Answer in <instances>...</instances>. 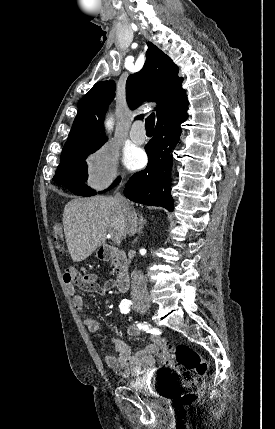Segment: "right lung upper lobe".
Returning a JSON list of instances; mask_svg holds the SVG:
<instances>
[{
  "instance_id": "obj_1",
  "label": "right lung upper lobe",
  "mask_w": 275,
  "mask_h": 429,
  "mask_svg": "<svg viewBox=\"0 0 275 429\" xmlns=\"http://www.w3.org/2000/svg\"><path fill=\"white\" fill-rule=\"evenodd\" d=\"M147 45L144 67L128 77L126 96L131 109L146 100L157 102L155 110L159 125L187 113L188 101L181 87L183 79L178 77V67L154 44L149 42ZM146 88L151 95L146 94ZM114 94V82L102 81L82 98L61 159L98 150L107 141L102 124Z\"/></svg>"
}]
</instances>
